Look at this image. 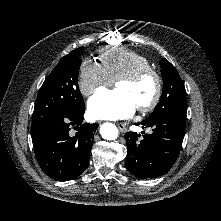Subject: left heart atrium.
<instances>
[{
  "mask_svg": "<svg viewBox=\"0 0 221 221\" xmlns=\"http://www.w3.org/2000/svg\"><path fill=\"white\" fill-rule=\"evenodd\" d=\"M87 109L93 119H122L134 114L137 107L130 96L119 89L100 90L88 101Z\"/></svg>",
  "mask_w": 221,
  "mask_h": 221,
  "instance_id": "left-heart-atrium-1",
  "label": "left heart atrium"
}]
</instances>
